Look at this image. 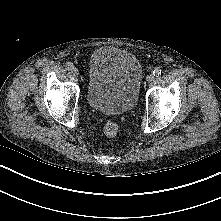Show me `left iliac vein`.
<instances>
[{
    "mask_svg": "<svg viewBox=\"0 0 221 221\" xmlns=\"http://www.w3.org/2000/svg\"><path fill=\"white\" fill-rule=\"evenodd\" d=\"M154 75L153 74H149V75H147V77H146V80L148 81V82H152L153 80H154Z\"/></svg>",
    "mask_w": 221,
    "mask_h": 221,
    "instance_id": "obj_1",
    "label": "left iliac vein"
}]
</instances>
